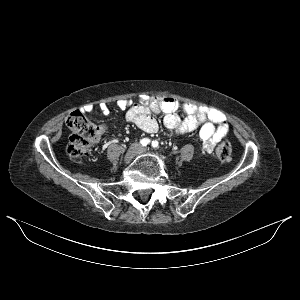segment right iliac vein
I'll use <instances>...</instances> for the list:
<instances>
[{
    "label": "right iliac vein",
    "instance_id": "63e3f726",
    "mask_svg": "<svg viewBox=\"0 0 300 300\" xmlns=\"http://www.w3.org/2000/svg\"><path fill=\"white\" fill-rule=\"evenodd\" d=\"M138 151H139L138 144H132L129 147L128 151L126 152L125 161L126 162L131 161L137 155Z\"/></svg>",
    "mask_w": 300,
    "mask_h": 300
}]
</instances>
